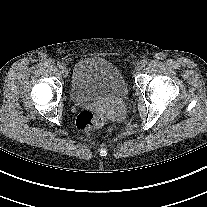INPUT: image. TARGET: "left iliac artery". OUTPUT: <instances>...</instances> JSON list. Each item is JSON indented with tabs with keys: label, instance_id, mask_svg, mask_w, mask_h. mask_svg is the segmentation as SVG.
Returning <instances> with one entry per match:
<instances>
[{
	"label": "left iliac artery",
	"instance_id": "left-iliac-artery-1",
	"mask_svg": "<svg viewBox=\"0 0 207 207\" xmlns=\"http://www.w3.org/2000/svg\"><path fill=\"white\" fill-rule=\"evenodd\" d=\"M141 63H142L143 66H145L147 64V61L146 60H142Z\"/></svg>",
	"mask_w": 207,
	"mask_h": 207
}]
</instances>
